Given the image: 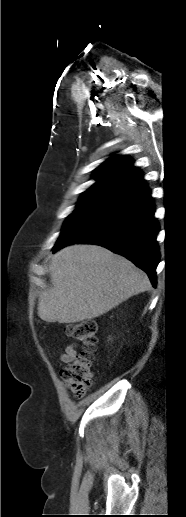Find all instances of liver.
<instances>
[{
    "mask_svg": "<svg viewBox=\"0 0 186 517\" xmlns=\"http://www.w3.org/2000/svg\"><path fill=\"white\" fill-rule=\"evenodd\" d=\"M50 279L52 287L38 303V316L46 322L93 319L150 287L148 276L131 261L86 244L54 254Z\"/></svg>",
    "mask_w": 186,
    "mask_h": 517,
    "instance_id": "obj_1",
    "label": "liver"
}]
</instances>
